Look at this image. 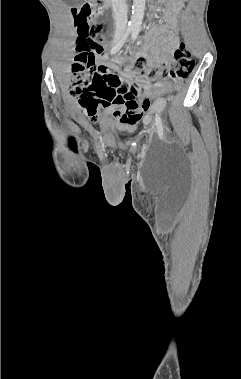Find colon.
<instances>
[{
  "label": "colon",
  "mask_w": 241,
  "mask_h": 379,
  "mask_svg": "<svg viewBox=\"0 0 241 379\" xmlns=\"http://www.w3.org/2000/svg\"><path fill=\"white\" fill-rule=\"evenodd\" d=\"M102 0H90L79 7L72 8L77 30L82 39L77 45V54L72 66V93L78 98L80 105L88 115L95 118L100 106H107L118 94H127L128 89H135L132 83L124 82L125 76L119 75L111 67L98 64L99 58H104V47L91 36L94 29L92 22L99 16ZM194 61L185 43H180L173 52V59L162 63L154 71L147 70L144 57H139L131 67L130 72L139 70L150 81L160 77L174 82L183 81L193 70ZM156 93L172 98L175 89L166 84L156 88Z\"/></svg>",
  "instance_id": "1"
}]
</instances>
